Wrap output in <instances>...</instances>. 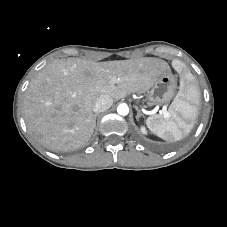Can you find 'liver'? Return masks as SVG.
<instances>
[{
    "label": "liver",
    "mask_w": 227,
    "mask_h": 227,
    "mask_svg": "<svg viewBox=\"0 0 227 227\" xmlns=\"http://www.w3.org/2000/svg\"><path fill=\"white\" fill-rule=\"evenodd\" d=\"M167 71V62L156 58L55 60L37 73L24 93L27 128L53 151L78 149L93 134V107L101 96L119 100L128 93H144Z\"/></svg>",
    "instance_id": "liver-1"
}]
</instances>
